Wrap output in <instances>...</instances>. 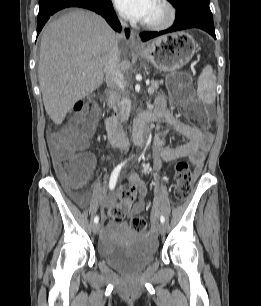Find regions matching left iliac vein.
I'll return each mask as SVG.
<instances>
[{"instance_id":"obj_1","label":"left iliac vein","mask_w":261,"mask_h":306,"mask_svg":"<svg viewBox=\"0 0 261 306\" xmlns=\"http://www.w3.org/2000/svg\"><path fill=\"white\" fill-rule=\"evenodd\" d=\"M156 227H157V230L159 231L160 234H164L165 233L166 227H165V225L163 223H158L156 225Z\"/></svg>"}]
</instances>
